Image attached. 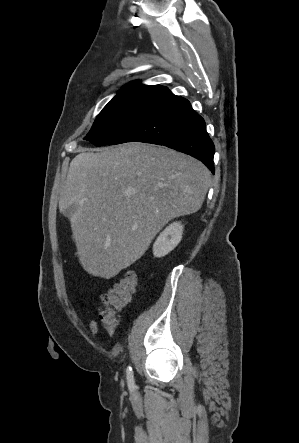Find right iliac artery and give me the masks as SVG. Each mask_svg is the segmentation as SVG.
<instances>
[{"mask_svg":"<svg viewBox=\"0 0 299 443\" xmlns=\"http://www.w3.org/2000/svg\"><path fill=\"white\" fill-rule=\"evenodd\" d=\"M126 373H127L128 386H129L130 389H134L135 384H134L133 371H132V368L130 366L127 368Z\"/></svg>","mask_w":299,"mask_h":443,"instance_id":"obj_1","label":"right iliac artery"}]
</instances>
